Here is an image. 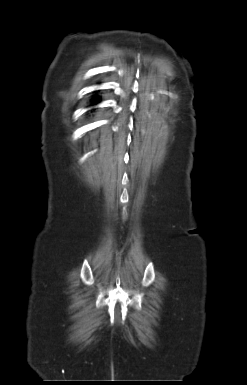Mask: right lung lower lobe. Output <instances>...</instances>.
<instances>
[{"label": "right lung lower lobe", "mask_w": 247, "mask_h": 385, "mask_svg": "<svg viewBox=\"0 0 247 385\" xmlns=\"http://www.w3.org/2000/svg\"><path fill=\"white\" fill-rule=\"evenodd\" d=\"M94 100H98V99L94 96Z\"/></svg>", "instance_id": "obj_1"}]
</instances>
